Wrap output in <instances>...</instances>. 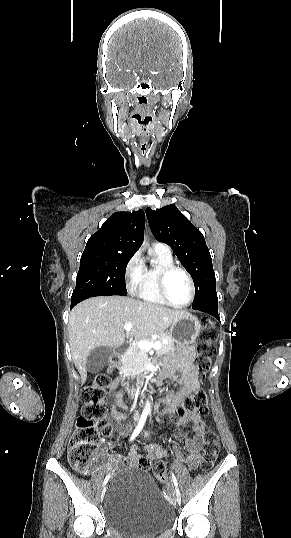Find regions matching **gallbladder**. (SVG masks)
<instances>
[{
  "label": "gallbladder",
  "instance_id": "gallbladder-1",
  "mask_svg": "<svg viewBox=\"0 0 291 538\" xmlns=\"http://www.w3.org/2000/svg\"><path fill=\"white\" fill-rule=\"evenodd\" d=\"M112 353L109 347H97L93 349L86 361V369L91 373H97L101 371L108 363V359Z\"/></svg>",
  "mask_w": 291,
  "mask_h": 538
}]
</instances>
